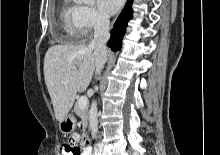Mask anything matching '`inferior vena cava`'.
<instances>
[{"label": "inferior vena cava", "instance_id": "inferior-vena-cava-1", "mask_svg": "<svg viewBox=\"0 0 220 155\" xmlns=\"http://www.w3.org/2000/svg\"><path fill=\"white\" fill-rule=\"evenodd\" d=\"M109 17L106 14L99 16L98 22L95 25L94 39L90 46L94 49L95 54V73L100 75L104 64L107 61V47L106 43L110 37L109 35Z\"/></svg>", "mask_w": 220, "mask_h": 155}]
</instances>
